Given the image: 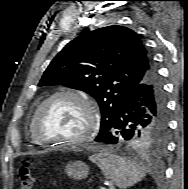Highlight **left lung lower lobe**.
Returning <instances> with one entry per match:
<instances>
[{
	"label": "left lung lower lobe",
	"instance_id": "0a47b994",
	"mask_svg": "<svg viewBox=\"0 0 188 189\" xmlns=\"http://www.w3.org/2000/svg\"><path fill=\"white\" fill-rule=\"evenodd\" d=\"M167 128L166 98L162 83L154 68L129 93L114 118L110 129L96 142L130 144L135 135L146 129L163 131Z\"/></svg>",
	"mask_w": 188,
	"mask_h": 189
}]
</instances>
